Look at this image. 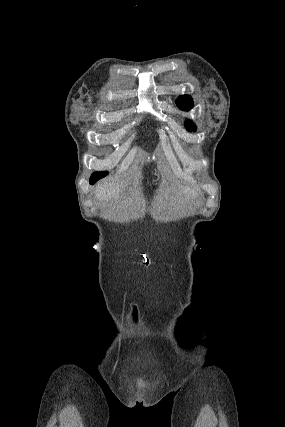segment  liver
I'll list each match as a JSON object with an SVG mask.
<instances>
[{
	"label": "liver",
	"instance_id": "liver-1",
	"mask_svg": "<svg viewBox=\"0 0 285 427\" xmlns=\"http://www.w3.org/2000/svg\"><path fill=\"white\" fill-rule=\"evenodd\" d=\"M120 193H122V186L113 182H106L98 185L94 192L95 197L100 201H117ZM178 194L185 198H195L197 196V193L193 189L184 186H179Z\"/></svg>",
	"mask_w": 285,
	"mask_h": 427
}]
</instances>
